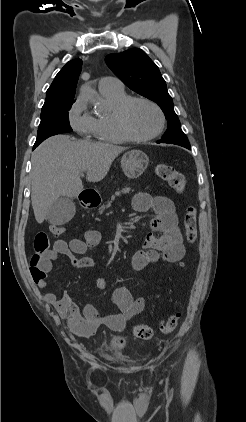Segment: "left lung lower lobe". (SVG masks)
Returning a JSON list of instances; mask_svg holds the SVG:
<instances>
[{"mask_svg": "<svg viewBox=\"0 0 246 422\" xmlns=\"http://www.w3.org/2000/svg\"><path fill=\"white\" fill-rule=\"evenodd\" d=\"M185 148L190 149V146H187V147H185Z\"/></svg>", "mask_w": 246, "mask_h": 422, "instance_id": "left-lung-lower-lobe-1", "label": "left lung lower lobe"}]
</instances>
